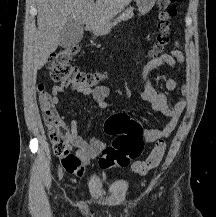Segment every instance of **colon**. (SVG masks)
<instances>
[{
    "mask_svg": "<svg viewBox=\"0 0 216 217\" xmlns=\"http://www.w3.org/2000/svg\"><path fill=\"white\" fill-rule=\"evenodd\" d=\"M182 0H158L162 9L158 21V33L153 47V55L162 52L169 44L170 21L176 14V5ZM79 46L74 44L55 52L49 62L50 76L53 81L78 88H95L101 81L98 73L84 72L71 64L78 54ZM39 100L43 119L49 129V139L53 151L61 159L64 169L71 173L81 174L79 159L71 152L70 141L65 122L53 105L52 95L41 85ZM104 130L109 135H117L115 140L102 151L99 166L102 169L126 167L137 158L144 145L143 128L126 113H117L108 117ZM166 150L165 143L157 141L145 160L136 162L132 169L136 174L144 175L156 168L162 161Z\"/></svg>",
    "mask_w": 216,
    "mask_h": 217,
    "instance_id": "obj_1",
    "label": "colon"
}]
</instances>
